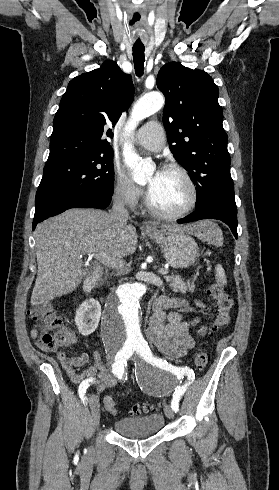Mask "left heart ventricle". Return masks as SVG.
Wrapping results in <instances>:
<instances>
[{
  "label": "left heart ventricle",
  "instance_id": "b2bd125f",
  "mask_svg": "<svg viewBox=\"0 0 279 490\" xmlns=\"http://www.w3.org/2000/svg\"><path fill=\"white\" fill-rule=\"evenodd\" d=\"M150 197L158 208L173 212L183 207L190 197V192L179 174L163 170L160 182Z\"/></svg>",
  "mask_w": 279,
  "mask_h": 490
}]
</instances>
